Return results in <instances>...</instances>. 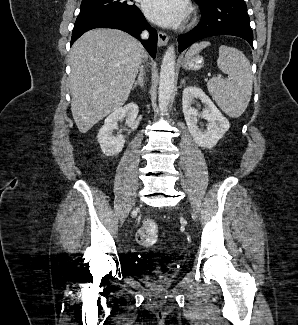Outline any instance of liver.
I'll return each instance as SVG.
<instances>
[{
	"label": "liver",
	"mask_w": 298,
	"mask_h": 325,
	"mask_svg": "<svg viewBox=\"0 0 298 325\" xmlns=\"http://www.w3.org/2000/svg\"><path fill=\"white\" fill-rule=\"evenodd\" d=\"M72 116L79 132L122 108L141 68L144 46L116 28L82 34L69 52Z\"/></svg>",
	"instance_id": "1"
}]
</instances>
